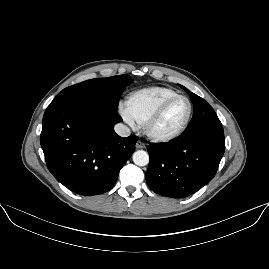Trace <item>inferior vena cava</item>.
<instances>
[{"mask_svg":"<svg viewBox=\"0 0 269 269\" xmlns=\"http://www.w3.org/2000/svg\"><path fill=\"white\" fill-rule=\"evenodd\" d=\"M115 131L121 137H128L131 133L127 126L120 123L115 125Z\"/></svg>","mask_w":269,"mask_h":269,"instance_id":"obj_1","label":"inferior vena cava"}]
</instances>
